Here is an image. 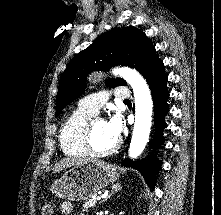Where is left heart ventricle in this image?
<instances>
[{"mask_svg":"<svg viewBox=\"0 0 221 215\" xmlns=\"http://www.w3.org/2000/svg\"><path fill=\"white\" fill-rule=\"evenodd\" d=\"M107 128L105 121H97L93 128V144L98 150H106L116 143Z\"/></svg>","mask_w":221,"mask_h":215,"instance_id":"left-heart-ventricle-1","label":"left heart ventricle"}]
</instances>
